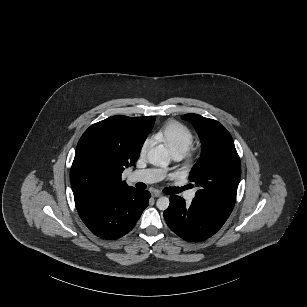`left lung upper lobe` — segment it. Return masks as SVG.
Masks as SVG:
<instances>
[{
    "instance_id": "5c2ea615",
    "label": "left lung upper lobe",
    "mask_w": 307,
    "mask_h": 307,
    "mask_svg": "<svg viewBox=\"0 0 307 307\" xmlns=\"http://www.w3.org/2000/svg\"><path fill=\"white\" fill-rule=\"evenodd\" d=\"M202 142V153L189 174L199 190L196 203L229 217L241 177L240 159L229 132L218 121L197 114H185Z\"/></svg>"
}]
</instances>
